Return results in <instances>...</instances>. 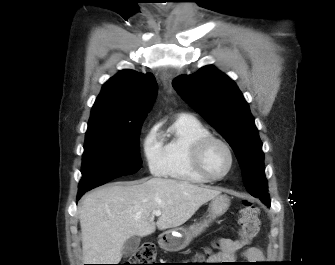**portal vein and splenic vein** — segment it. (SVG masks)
Here are the masks:
<instances>
[{
  "instance_id": "1",
  "label": "portal vein and splenic vein",
  "mask_w": 335,
  "mask_h": 265,
  "mask_svg": "<svg viewBox=\"0 0 335 265\" xmlns=\"http://www.w3.org/2000/svg\"><path fill=\"white\" fill-rule=\"evenodd\" d=\"M161 215V211L160 210H156L153 212V216H160Z\"/></svg>"
}]
</instances>
